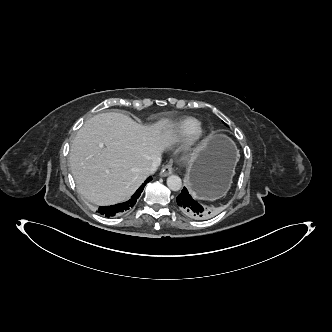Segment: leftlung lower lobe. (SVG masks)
I'll list each match as a JSON object with an SVG mask.
<instances>
[{
    "mask_svg": "<svg viewBox=\"0 0 332 332\" xmlns=\"http://www.w3.org/2000/svg\"><path fill=\"white\" fill-rule=\"evenodd\" d=\"M176 200L183 213L193 219L204 220L213 215L211 211L204 209L197 201H195L185 187Z\"/></svg>",
    "mask_w": 332,
    "mask_h": 332,
    "instance_id": "1",
    "label": "left lung lower lobe"
}]
</instances>
